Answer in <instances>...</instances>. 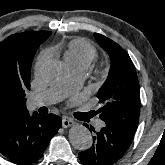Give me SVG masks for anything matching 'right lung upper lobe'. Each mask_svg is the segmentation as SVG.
I'll list each match as a JSON object with an SVG mask.
<instances>
[{"label": "right lung upper lobe", "instance_id": "obj_1", "mask_svg": "<svg viewBox=\"0 0 165 165\" xmlns=\"http://www.w3.org/2000/svg\"><path fill=\"white\" fill-rule=\"evenodd\" d=\"M50 31H29L9 36L0 43V128L28 113L25 90L37 48Z\"/></svg>", "mask_w": 165, "mask_h": 165}]
</instances>
